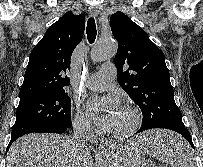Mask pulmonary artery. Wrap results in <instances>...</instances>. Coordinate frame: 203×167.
I'll use <instances>...</instances> for the list:
<instances>
[{
  "label": "pulmonary artery",
  "mask_w": 203,
  "mask_h": 167,
  "mask_svg": "<svg viewBox=\"0 0 203 167\" xmlns=\"http://www.w3.org/2000/svg\"><path fill=\"white\" fill-rule=\"evenodd\" d=\"M115 75L116 68L113 64L103 65L100 71L94 73L87 79L86 86L92 90H103L108 87Z\"/></svg>",
  "instance_id": "obj_1"
}]
</instances>
